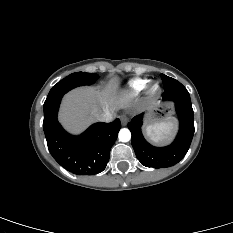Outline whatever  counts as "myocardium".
<instances>
[{"label":"myocardium","mask_w":233,"mask_h":233,"mask_svg":"<svg viewBox=\"0 0 233 233\" xmlns=\"http://www.w3.org/2000/svg\"><path fill=\"white\" fill-rule=\"evenodd\" d=\"M160 92V86L158 83H152L148 88V95L155 96Z\"/></svg>","instance_id":"obj_1"}]
</instances>
